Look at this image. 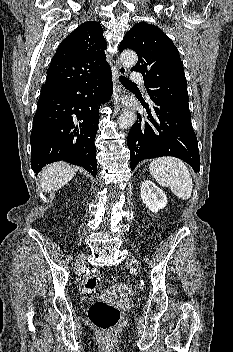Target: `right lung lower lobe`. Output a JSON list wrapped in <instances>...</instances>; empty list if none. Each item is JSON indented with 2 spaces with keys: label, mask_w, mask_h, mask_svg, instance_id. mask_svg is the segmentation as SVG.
Returning a JSON list of instances; mask_svg holds the SVG:
<instances>
[{
  "label": "right lung lower lobe",
  "mask_w": 233,
  "mask_h": 352,
  "mask_svg": "<svg viewBox=\"0 0 233 352\" xmlns=\"http://www.w3.org/2000/svg\"><path fill=\"white\" fill-rule=\"evenodd\" d=\"M111 78L108 69L64 91L40 95L30 137L31 167L36 174L46 164L63 160L96 176L99 106L111 97Z\"/></svg>",
  "instance_id": "obj_1"
}]
</instances>
